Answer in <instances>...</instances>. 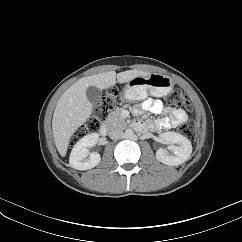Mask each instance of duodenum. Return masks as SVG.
Returning <instances> with one entry per match:
<instances>
[{
    "mask_svg": "<svg viewBox=\"0 0 242 242\" xmlns=\"http://www.w3.org/2000/svg\"><path fill=\"white\" fill-rule=\"evenodd\" d=\"M100 134L103 136H106L108 134V127L106 124H104L100 129Z\"/></svg>",
    "mask_w": 242,
    "mask_h": 242,
    "instance_id": "410a0bca",
    "label": "duodenum"
}]
</instances>
